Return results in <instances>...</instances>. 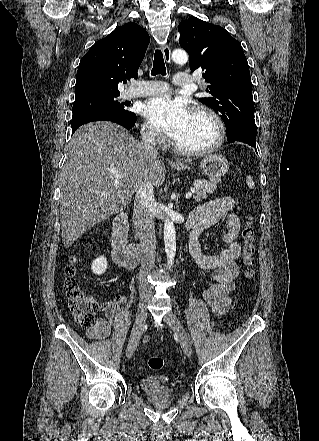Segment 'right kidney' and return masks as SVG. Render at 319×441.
Listing matches in <instances>:
<instances>
[{
  "label": "right kidney",
  "instance_id": "1",
  "mask_svg": "<svg viewBox=\"0 0 319 441\" xmlns=\"http://www.w3.org/2000/svg\"><path fill=\"white\" fill-rule=\"evenodd\" d=\"M107 259L104 256L96 258L91 266L92 272L96 275H102L107 269Z\"/></svg>",
  "mask_w": 319,
  "mask_h": 441
}]
</instances>
